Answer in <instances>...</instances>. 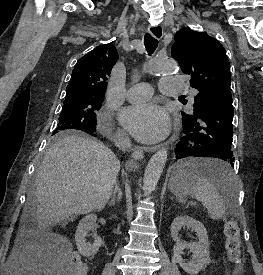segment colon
Returning a JSON list of instances; mask_svg holds the SVG:
<instances>
[{"mask_svg":"<svg viewBox=\"0 0 263 275\" xmlns=\"http://www.w3.org/2000/svg\"><path fill=\"white\" fill-rule=\"evenodd\" d=\"M224 234L226 237L225 247L229 261L234 266V273L239 274L242 271L241 265V236L240 230L236 222L227 221L224 225ZM60 275H83L85 265L80 256L76 252L70 253L68 256H60Z\"/></svg>","mask_w":263,"mask_h":275,"instance_id":"colon-1","label":"colon"}]
</instances>
